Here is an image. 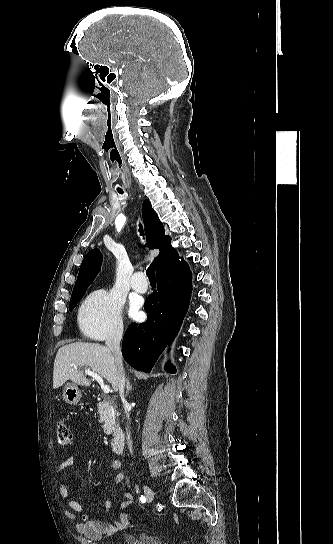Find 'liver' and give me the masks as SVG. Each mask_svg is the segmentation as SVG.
Returning a JSON list of instances; mask_svg holds the SVG:
<instances>
[{
    "label": "liver",
    "mask_w": 333,
    "mask_h": 544,
    "mask_svg": "<svg viewBox=\"0 0 333 544\" xmlns=\"http://www.w3.org/2000/svg\"><path fill=\"white\" fill-rule=\"evenodd\" d=\"M89 367L101 375L118 391L117 367L112 351L98 343L75 342L62 346L54 361L53 388L57 389L67 380L81 386H90L91 381L82 371L72 367Z\"/></svg>",
    "instance_id": "obj_1"
}]
</instances>
